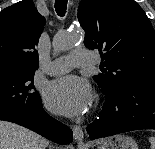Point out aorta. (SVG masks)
I'll return each instance as SVG.
<instances>
[{
    "instance_id": "obj_1",
    "label": "aorta",
    "mask_w": 155,
    "mask_h": 149,
    "mask_svg": "<svg viewBox=\"0 0 155 149\" xmlns=\"http://www.w3.org/2000/svg\"><path fill=\"white\" fill-rule=\"evenodd\" d=\"M84 40V33L82 31L66 33L60 31L54 38V49L56 51H63L74 47L77 43Z\"/></svg>"
}]
</instances>
